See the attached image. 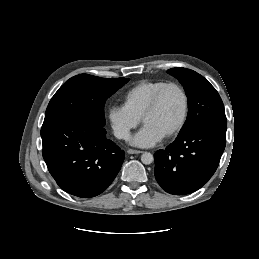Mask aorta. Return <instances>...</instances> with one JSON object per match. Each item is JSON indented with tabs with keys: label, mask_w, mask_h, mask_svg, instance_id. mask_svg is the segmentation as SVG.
<instances>
[{
	"label": "aorta",
	"mask_w": 259,
	"mask_h": 259,
	"mask_svg": "<svg viewBox=\"0 0 259 259\" xmlns=\"http://www.w3.org/2000/svg\"><path fill=\"white\" fill-rule=\"evenodd\" d=\"M141 161L145 165H149L154 161V157L151 153L145 152L141 155Z\"/></svg>",
	"instance_id": "1"
}]
</instances>
